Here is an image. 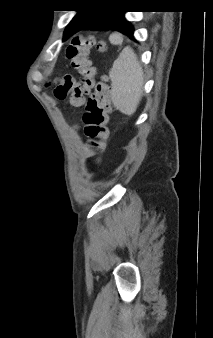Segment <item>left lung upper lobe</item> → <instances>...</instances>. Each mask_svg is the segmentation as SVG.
Wrapping results in <instances>:
<instances>
[{"instance_id": "1", "label": "left lung upper lobe", "mask_w": 213, "mask_h": 338, "mask_svg": "<svg viewBox=\"0 0 213 338\" xmlns=\"http://www.w3.org/2000/svg\"><path fill=\"white\" fill-rule=\"evenodd\" d=\"M84 11H78V14L73 18V20L68 24V26L66 27V30H67V28L70 26V24L75 20V19H77L82 13H83ZM66 30H65V32H66ZM63 40H65V33H64V38H63Z\"/></svg>"}]
</instances>
